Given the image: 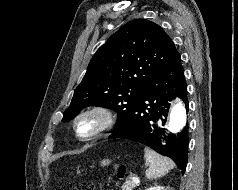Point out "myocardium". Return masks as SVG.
Masks as SVG:
<instances>
[{"mask_svg":"<svg viewBox=\"0 0 238 190\" xmlns=\"http://www.w3.org/2000/svg\"><path fill=\"white\" fill-rule=\"evenodd\" d=\"M86 119H94L96 126L89 132L81 130V123ZM115 115L108 107L94 105L88 107L77 114L73 121V129L78 138L82 140L94 139L113 127Z\"/></svg>","mask_w":238,"mask_h":190,"instance_id":"1","label":"myocardium"}]
</instances>
